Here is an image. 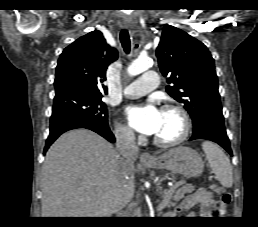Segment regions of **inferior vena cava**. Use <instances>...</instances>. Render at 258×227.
<instances>
[{"label":"inferior vena cava","mask_w":258,"mask_h":227,"mask_svg":"<svg viewBox=\"0 0 258 227\" xmlns=\"http://www.w3.org/2000/svg\"><path fill=\"white\" fill-rule=\"evenodd\" d=\"M116 148L120 155L119 164L124 168L132 167L139 153L132 131L120 129L116 132Z\"/></svg>","instance_id":"1"}]
</instances>
